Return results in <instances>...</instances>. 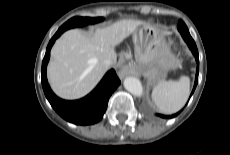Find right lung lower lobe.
Returning a JSON list of instances; mask_svg holds the SVG:
<instances>
[{"label": "right lung lower lobe", "mask_w": 230, "mask_h": 155, "mask_svg": "<svg viewBox=\"0 0 230 155\" xmlns=\"http://www.w3.org/2000/svg\"><path fill=\"white\" fill-rule=\"evenodd\" d=\"M63 32L58 30L50 40L46 54L42 62L41 82L46 98L50 102L54 110L68 122L77 125H90L97 123L103 117L107 109L108 100L111 94L119 86L120 80L114 70H110L98 86L86 97L75 100L66 101L58 98L50 89L47 77L46 67L50 58V50L55 40Z\"/></svg>", "instance_id": "1"}]
</instances>
